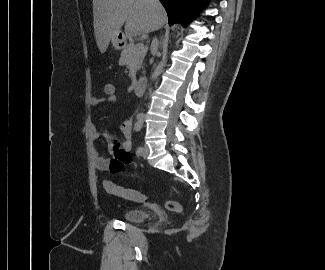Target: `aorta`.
I'll return each instance as SVG.
<instances>
[{
  "label": "aorta",
  "mask_w": 325,
  "mask_h": 270,
  "mask_svg": "<svg viewBox=\"0 0 325 270\" xmlns=\"http://www.w3.org/2000/svg\"><path fill=\"white\" fill-rule=\"evenodd\" d=\"M162 69H163V64L162 63L158 64V66L155 68L152 74V78L153 79L157 78L161 74Z\"/></svg>",
  "instance_id": "aorta-1"
}]
</instances>
